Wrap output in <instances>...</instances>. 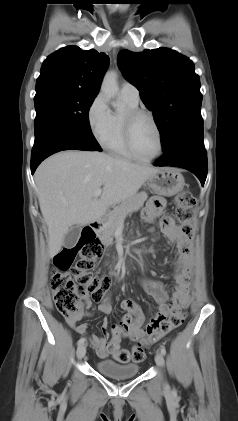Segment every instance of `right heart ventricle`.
Instances as JSON below:
<instances>
[{
    "label": "right heart ventricle",
    "mask_w": 238,
    "mask_h": 421,
    "mask_svg": "<svg viewBox=\"0 0 238 421\" xmlns=\"http://www.w3.org/2000/svg\"><path fill=\"white\" fill-rule=\"evenodd\" d=\"M123 100L126 103L128 110L135 109L138 106V103H132L124 98ZM102 145L107 151L117 156L129 160L135 159L125 144L123 134V114L118 112L112 113L110 131L102 142Z\"/></svg>",
    "instance_id": "1"
}]
</instances>
